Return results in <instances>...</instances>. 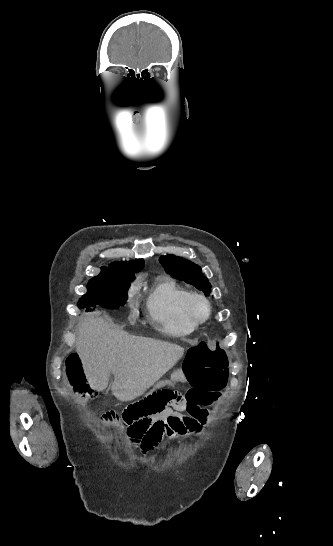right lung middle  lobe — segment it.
I'll use <instances>...</instances> for the list:
<instances>
[{
    "mask_svg": "<svg viewBox=\"0 0 333 546\" xmlns=\"http://www.w3.org/2000/svg\"><path fill=\"white\" fill-rule=\"evenodd\" d=\"M137 272L102 270L98 276L89 280L88 291L79 299L78 307L88 308L101 305L107 309H116L119 305H124L128 288Z\"/></svg>",
    "mask_w": 333,
    "mask_h": 546,
    "instance_id": "1",
    "label": "right lung middle lobe"
}]
</instances>
